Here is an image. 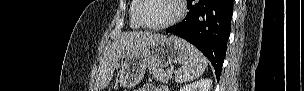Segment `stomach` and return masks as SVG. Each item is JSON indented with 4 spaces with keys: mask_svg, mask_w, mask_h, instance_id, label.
<instances>
[{
    "mask_svg": "<svg viewBox=\"0 0 304 91\" xmlns=\"http://www.w3.org/2000/svg\"><path fill=\"white\" fill-rule=\"evenodd\" d=\"M188 58L185 42L176 36L153 37L139 50L124 54L118 64V79L121 86L134 87L144 77L146 68L162 69L175 63H184Z\"/></svg>",
    "mask_w": 304,
    "mask_h": 91,
    "instance_id": "obj_1",
    "label": "stomach"
}]
</instances>
